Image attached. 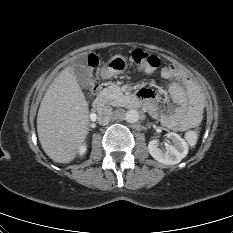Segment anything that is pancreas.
<instances>
[{
	"mask_svg": "<svg viewBox=\"0 0 233 233\" xmlns=\"http://www.w3.org/2000/svg\"><path fill=\"white\" fill-rule=\"evenodd\" d=\"M102 95L106 98L107 102L112 106H129L130 98L125 96L117 85L109 86L102 91Z\"/></svg>",
	"mask_w": 233,
	"mask_h": 233,
	"instance_id": "cf45deb5",
	"label": "pancreas"
}]
</instances>
